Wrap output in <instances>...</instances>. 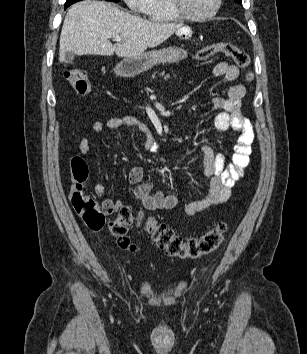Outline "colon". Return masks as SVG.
Segmentation results:
<instances>
[{
  "instance_id": "colon-1",
  "label": "colon",
  "mask_w": 307,
  "mask_h": 354,
  "mask_svg": "<svg viewBox=\"0 0 307 354\" xmlns=\"http://www.w3.org/2000/svg\"><path fill=\"white\" fill-rule=\"evenodd\" d=\"M218 53L232 59L240 68L247 69L250 65L248 53L232 41L212 43L199 50L195 54V58L204 61ZM64 76L77 92L80 94L87 92L89 78L85 70L80 68L68 69L64 72ZM252 78L253 76L249 72L247 79L252 80ZM70 173L73 182L70 201L75 212L89 228L101 230L106 224V214H109V212L103 204L101 206L94 197L84 192L83 185L88 178V168L81 157L74 156L71 159ZM115 212L117 216L107 223L108 230L120 248L134 250L135 246L131 243L127 232L134 223L141 224L142 214L135 215L125 205L120 206ZM144 228L155 244L164 250L168 256L180 259H198L216 251L222 244L227 230L226 224L220 222L203 235L184 240L171 228L156 222L151 217L144 221Z\"/></svg>"
}]
</instances>
